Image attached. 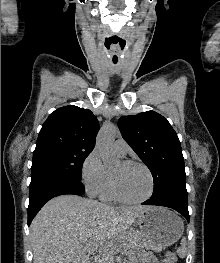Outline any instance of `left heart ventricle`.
Masks as SVG:
<instances>
[{
    "instance_id": "obj_1",
    "label": "left heart ventricle",
    "mask_w": 220,
    "mask_h": 263,
    "mask_svg": "<svg viewBox=\"0 0 220 263\" xmlns=\"http://www.w3.org/2000/svg\"><path fill=\"white\" fill-rule=\"evenodd\" d=\"M112 171L116 175L121 193L126 198L139 199L149 192L150 179L141 166H125L120 162Z\"/></svg>"
}]
</instances>
